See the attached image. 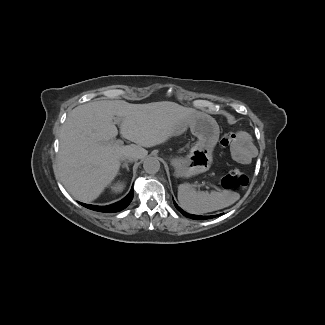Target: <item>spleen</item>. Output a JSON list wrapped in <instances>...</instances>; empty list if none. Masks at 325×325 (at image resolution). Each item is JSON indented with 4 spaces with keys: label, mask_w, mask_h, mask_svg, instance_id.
I'll use <instances>...</instances> for the list:
<instances>
[{
    "label": "spleen",
    "mask_w": 325,
    "mask_h": 325,
    "mask_svg": "<svg viewBox=\"0 0 325 325\" xmlns=\"http://www.w3.org/2000/svg\"><path fill=\"white\" fill-rule=\"evenodd\" d=\"M178 200L181 207L192 214H203L222 209L231 205L234 201L228 200L222 192L205 193L196 191L194 185L181 184L178 188Z\"/></svg>",
    "instance_id": "1"
}]
</instances>
